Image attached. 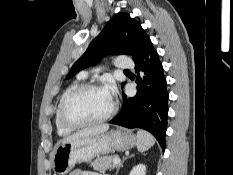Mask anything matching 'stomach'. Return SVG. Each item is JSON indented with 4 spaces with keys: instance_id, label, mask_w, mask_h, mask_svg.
<instances>
[{
    "instance_id": "stomach-1",
    "label": "stomach",
    "mask_w": 233,
    "mask_h": 175,
    "mask_svg": "<svg viewBox=\"0 0 233 175\" xmlns=\"http://www.w3.org/2000/svg\"><path fill=\"white\" fill-rule=\"evenodd\" d=\"M136 143V136L123 129L61 143L53 151L52 169L57 175H66L78 162H88L96 156L115 150L125 151L134 147Z\"/></svg>"
}]
</instances>
